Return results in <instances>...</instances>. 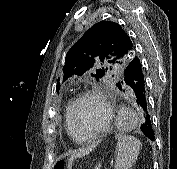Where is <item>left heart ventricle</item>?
Segmentation results:
<instances>
[{
	"mask_svg": "<svg viewBox=\"0 0 177 169\" xmlns=\"http://www.w3.org/2000/svg\"><path fill=\"white\" fill-rule=\"evenodd\" d=\"M105 112L98 99L85 98L77 109L76 125L80 136L95 132L102 125Z\"/></svg>",
	"mask_w": 177,
	"mask_h": 169,
	"instance_id": "1",
	"label": "left heart ventricle"
}]
</instances>
